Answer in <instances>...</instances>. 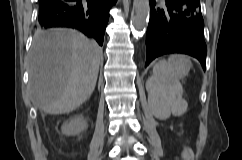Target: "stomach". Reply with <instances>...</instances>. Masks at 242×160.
Segmentation results:
<instances>
[{"label": "stomach", "instance_id": "stomach-1", "mask_svg": "<svg viewBox=\"0 0 242 160\" xmlns=\"http://www.w3.org/2000/svg\"><path fill=\"white\" fill-rule=\"evenodd\" d=\"M190 62L186 58L180 65V73L186 75L190 69Z\"/></svg>", "mask_w": 242, "mask_h": 160}]
</instances>
